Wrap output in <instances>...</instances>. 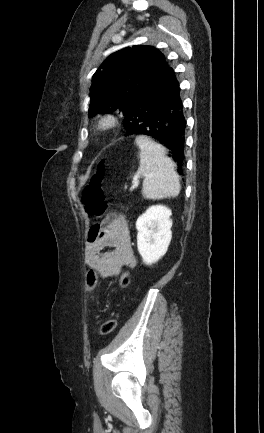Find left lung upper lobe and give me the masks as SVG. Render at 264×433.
Segmentation results:
<instances>
[{
    "label": "left lung upper lobe",
    "mask_w": 264,
    "mask_h": 433,
    "mask_svg": "<svg viewBox=\"0 0 264 433\" xmlns=\"http://www.w3.org/2000/svg\"><path fill=\"white\" fill-rule=\"evenodd\" d=\"M166 65L164 55L152 46L137 45L112 53L92 77L89 116L117 109L126 115Z\"/></svg>",
    "instance_id": "obj_1"
}]
</instances>
